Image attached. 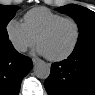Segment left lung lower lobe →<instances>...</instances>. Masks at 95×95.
I'll list each match as a JSON object with an SVG mask.
<instances>
[{
	"instance_id": "left-lung-lower-lobe-1",
	"label": "left lung lower lobe",
	"mask_w": 95,
	"mask_h": 95,
	"mask_svg": "<svg viewBox=\"0 0 95 95\" xmlns=\"http://www.w3.org/2000/svg\"><path fill=\"white\" fill-rule=\"evenodd\" d=\"M44 85L49 95H95V40L54 63Z\"/></svg>"
}]
</instances>
